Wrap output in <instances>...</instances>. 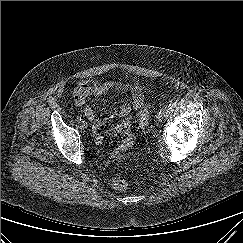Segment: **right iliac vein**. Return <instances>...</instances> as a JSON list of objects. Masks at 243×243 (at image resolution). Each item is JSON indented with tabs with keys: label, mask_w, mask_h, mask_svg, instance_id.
Masks as SVG:
<instances>
[{
	"label": "right iliac vein",
	"mask_w": 243,
	"mask_h": 243,
	"mask_svg": "<svg viewBox=\"0 0 243 243\" xmlns=\"http://www.w3.org/2000/svg\"><path fill=\"white\" fill-rule=\"evenodd\" d=\"M79 124H80V128L83 129V130L88 127V124L85 120L80 121Z\"/></svg>",
	"instance_id": "1"
}]
</instances>
